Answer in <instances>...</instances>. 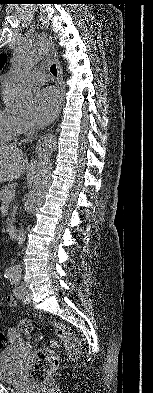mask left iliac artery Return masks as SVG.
Here are the masks:
<instances>
[{"label": "left iliac artery", "instance_id": "1", "mask_svg": "<svg viewBox=\"0 0 153 393\" xmlns=\"http://www.w3.org/2000/svg\"><path fill=\"white\" fill-rule=\"evenodd\" d=\"M5 277L8 278L11 284L15 286L14 294L19 297L21 292V286H19L21 282V275L11 272L10 275H7Z\"/></svg>", "mask_w": 153, "mask_h": 393}]
</instances>
